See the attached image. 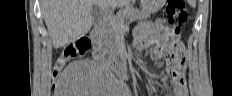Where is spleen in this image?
I'll use <instances>...</instances> for the list:
<instances>
[{"label": "spleen", "mask_w": 232, "mask_h": 96, "mask_svg": "<svg viewBox=\"0 0 232 96\" xmlns=\"http://www.w3.org/2000/svg\"><path fill=\"white\" fill-rule=\"evenodd\" d=\"M188 3L191 7L195 8L196 7V0H188Z\"/></svg>", "instance_id": "obj_1"}]
</instances>
